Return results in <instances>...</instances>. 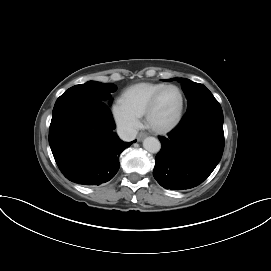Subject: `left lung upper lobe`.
<instances>
[{
    "instance_id": "1",
    "label": "left lung upper lobe",
    "mask_w": 271,
    "mask_h": 271,
    "mask_svg": "<svg viewBox=\"0 0 271 271\" xmlns=\"http://www.w3.org/2000/svg\"><path fill=\"white\" fill-rule=\"evenodd\" d=\"M172 80H178L181 83L182 90L187 98L188 109L201 102L215 99L212 93L202 84L183 78L170 79L169 81Z\"/></svg>"
}]
</instances>
